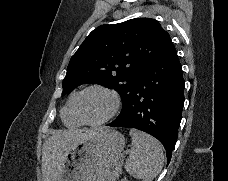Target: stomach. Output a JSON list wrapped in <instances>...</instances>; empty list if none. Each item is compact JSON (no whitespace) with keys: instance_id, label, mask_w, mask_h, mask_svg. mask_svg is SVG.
Here are the masks:
<instances>
[{"instance_id":"stomach-1","label":"stomach","mask_w":228,"mask_h":181,"mask_svg":"<svg viewBox=\"0 0 228 181\" xmlns=\"http://www.w3.org/2000/svg\"><path fill=\"white\" fill-rule=\"evenodd\" d=\"M124 145L125 139L118 131H96L71 149L58 181H108Z\"/></svg>"}]
</instances>
